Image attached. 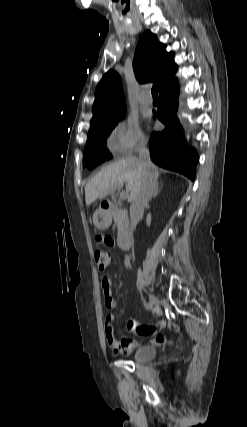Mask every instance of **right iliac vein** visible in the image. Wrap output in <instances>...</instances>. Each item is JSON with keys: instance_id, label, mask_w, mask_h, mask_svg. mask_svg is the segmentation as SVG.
<instances>
[{"instance_id": "1", "label": "right iliac vein", "mask_w": 247, "mask_h": 427, "mask_svg": "<svg viewBox=\"0 0 247 427\" xmlns=\"http://www.w3.org/2000/svg\"><path fill=\"white\" fill-rule=\"evenodd\" d=\"M149 300H150V303H151L154 307H159V300H158V298H157L155 295L150 294V295H149Z\"/></svg>"}]
</instances>
